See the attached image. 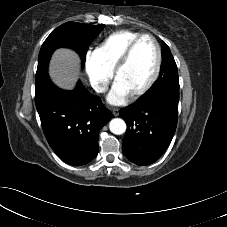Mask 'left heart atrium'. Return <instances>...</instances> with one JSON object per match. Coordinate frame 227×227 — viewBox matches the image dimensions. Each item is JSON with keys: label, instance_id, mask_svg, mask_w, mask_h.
Listing matches in <instances>:
<instances>
[{"label": "left heart atrium", "instance_id": "39dd6f15", "mask_svg": "<svg viewBox=\"0 0 227 227\" xmlns=\"http://www.w3.org/2000/svg\"><path fill=\"white\" fill-rule=\"evenodd\" d=\"M127 97V92L115 82L110 93L108 94V101L112 104L118 105L122 104Z\"/></svg>", "mask_w": 227, "mask_h": 227}]
</instances>
